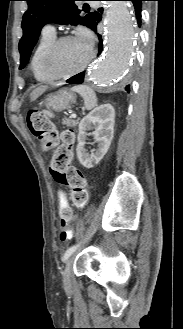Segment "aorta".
Returning <instances> with one entry per match:
<instances>
[{
    "mask_svg": "<svg viewBox=\"0 0 183 329\" xmlns=\"http://www.w3.org/2000/svg\"><path fill=\"white\" fill-rule=\"evenodd\" d=\"M134 14L126 1L110 2L105 17L106 50L90 77L103 88L118 84L128 68L134 45Z\"/></svg>",
    "mask_w": 183,
    "mask_h": 329,
    "instance_id": "1",
    "label": "aorta"
}]
</instances>
